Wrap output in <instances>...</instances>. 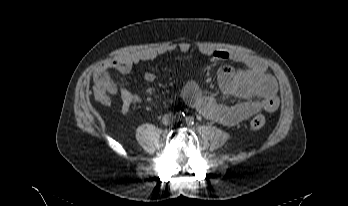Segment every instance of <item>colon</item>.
I'll return each mask as SVG.
<instances>
[{"label": "colon", "mask_w": 348, "mask_h": 206, "mask_svg": "<svg viewBox=\"0 0 348 206\" xmlns=\"http://www.w3.org/2000/svg\"><path fill=\"white\" fill-rule=\"evenodd\" d=\"M95 80L98 84L106 89L112 90L115 85L111 82L109 73L106 69H100L95 75ZM266 124V117L262 114H256L251 117L249 126L252 130H258Z\"/></svg>", "instance_id": "colon-1"}]
</instances>
